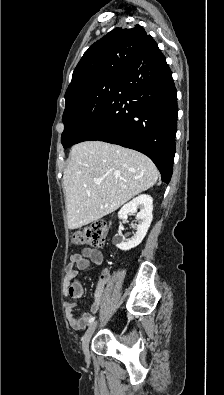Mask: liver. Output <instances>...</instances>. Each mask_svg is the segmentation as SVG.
<instances>
[{
	"label": "liver",
	"mask_w": 224,
	"mask_h": 395,
	"mask_svg": "<svg viewBox=\"0 0 224 395\" xmlns=\"http://www.w3.org/2000/svg\"><path fill=\"white\" fill-rule=\"evenodd\" d=\"M158 177L154 163L137 151L101 141L76 144L63 175L69 229L114 212Z\"/></svg>",
	"instance_id": "6515ba94"
}]
</instances>
